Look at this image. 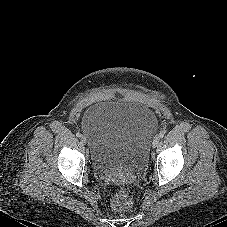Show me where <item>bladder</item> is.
<instances>
[{
	"label": "bladder",
	"mask_w": 227,
	"mask_h": 227,
	"mask_svg": "<svg viewBox=\"0 0 227 227\" xmlns=\"http://www.w3.org/2000/svg\"><path fill=\"white\" fill-rule=\"evenodd\" d=\"M158 126L156 115L136 102L111 100L91 106L82 130L90 142L93 169L121 173L142 169Z\"/></svg>",
	"instance_id": "1"
}]
</instances>
